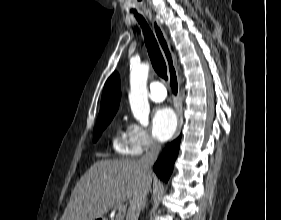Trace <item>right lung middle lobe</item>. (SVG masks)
Masks as SVG:
<instances>
[{"instance_id": "1", "label": "right lung middle lobe", "mask_w": 281, "mask_h": 220, "mask_svg": "<svg viewBox=\"0 0 281 220\" xmlns=\"http://www.w3.org/2000/svg\"><path fill=\"white\" fill-rule=\"evenodd\" d=\"M113 117L114 115L98 117L95 131H94V137H93L94 141H97L101 132L107 127V125L111 122Z\"/></svg>"}]
</instances>
